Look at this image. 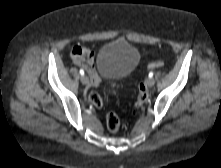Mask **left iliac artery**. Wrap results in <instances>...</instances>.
<instances>
[{
    "mask_svg": "<svg viewBox=\"0 0 221 168\" xmlns=\"http://www.w3.org/2000/svg\"><path fill=\"white\" fill-rule=\"evenodd\" d=\"M153 75H154V73H153V72H150V73H149V78H152Z\"/></svg>",
    "mask_w": 221,
    "mask_h": 168,
    "instance_id": "44dca946",
    "label": "left iliac artery"
}]
</instances>
